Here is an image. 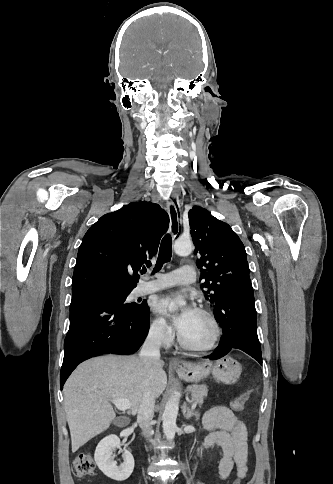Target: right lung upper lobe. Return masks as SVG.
<instances>
[{
	"label": "right lung upper lobe",
	"mask_w": 333,
	"mask_h": 484,
	"mask_svg": "<svg viewBox=\"0 0 333 484\" xmlns=\"http://www.w3.org/2000/svg\"><path fill=\"white\" fill-rule=\"evenodd\" d=\"M169 225L168 214L151 202H132L103 215L83 237L72 278L82 290L132 291L138 271L152 258Z\"/></svg>",
	"instance_id": "obj_1"
}]
</instances>
